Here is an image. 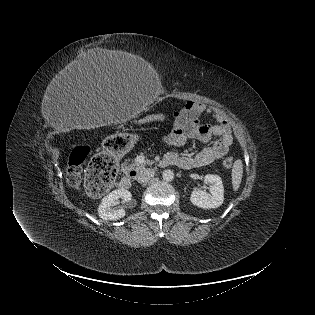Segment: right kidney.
<instances>
[{
    "label": "right kidney",
    "mask_w": 315,
    "mask_h": 315,
    "mask_svg": "<svg viewBox=\"0 0 315 315\" xmlns=\"http://www.w3.org/2000/svg\"><path fill=\"white\" fill-rule=\"evenodd\" d=\"M122 199L123 202H129L132 199V194L126 189H116L105 196L99 206L98 214L103 220H119L125 216L124 209L115 210L112 208L116 200Z\"/></svg>",
    "instance_id": "obj_1"
}]
</instances>
